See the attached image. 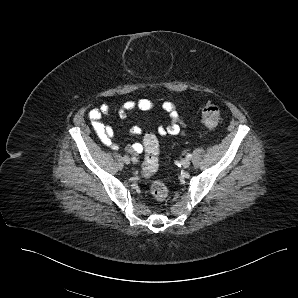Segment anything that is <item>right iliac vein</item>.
Here are the masks:
<instances>
[{
  "instance_id": "63e3f726",
  "label": "right iliac vein",
  "mask_w": 298,
  "mask_h": 298,
  "mask_svg": "<svg viewBox=\"0 0 298 298\" xmlns=\"http://www.w3.org/2000/svg\"><path fill=\"white\" fill-rule=\"evenodd\" d=\"M123 161H124V163L129 164L130 163V158L128 156H124Z\"/></svg>"
}]
</instances>
